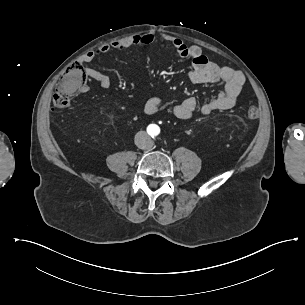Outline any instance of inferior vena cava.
Here are the masks:
<instances>
[{"label":"inferior vena cava","mask_w":305,"mask_h":305,"mask_svg":"<svg viewBox=\"0 0 305 305\" xmlns=\"http://www.w3.org/2000/svg\"><path fill=\"white\" fill-rule=\"evenodd\" d=\"M135 145L140 149H148L152 146V140L145 131H139L134 137Z\"/></svg>","instance_id":"602c4592"}]
</instances>
